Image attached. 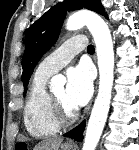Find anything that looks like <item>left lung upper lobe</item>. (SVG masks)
<instances>
[{
    "mask_svg": "<svg viewBox=\"0 0 139 150\" xmlns=\"http://www.w3.org/2000/svg\"><path fill=\"white\" fill-rule=\"evenodd\" d=\"M83 6L106 16L100 0H64L63 3H58L49 9L27 30L25 52L22 58L24 95L36 64L58 39L66 11L81 9Z\"/></svg>",
    "mask_w": 139,
    "mask_h": 150,
    "instance_id": "left-lung-upper-lobe-1",
    "label": "left lung upper lobe"
}]
</instances>
